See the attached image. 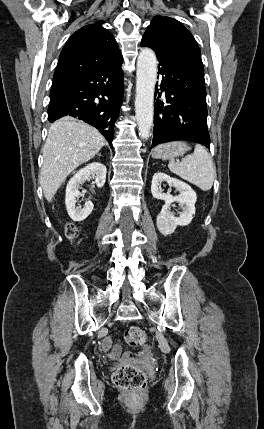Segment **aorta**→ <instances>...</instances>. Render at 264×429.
<instances>
[{"mask_svg": "<svg viewBox=\"0 0 264 429\" xmlns=\"http://www.w3.org/2000/svg\"><path fill=\"white\" fill-rule=\"evenodd\" d=\"M156 73L155 53L149 48L142 49L137 59L135 113L139 135L143 139L151 135Z\"/></svg>", "mask_w": 264, "mask_h": 429, "instance_id": "762f6f07", "label": "aorta"}]
</instances>
